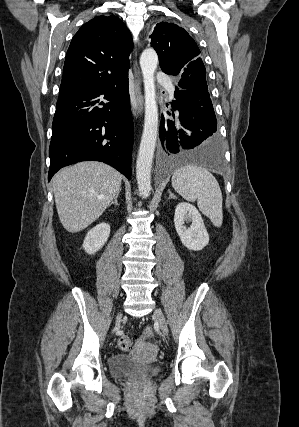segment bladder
<instances>
[{
  "label": "bladder",
  "mask_w": 299,
  "mask_h": 427,
  "mask_svg": "<svg viewBox=\"0 0 299 427\" xmlns=\"http://www.w3.org/2000/svg\"><path fill=\"white\" fill-rule=\"evenodd\" d=\"M109 370L111 375L117 378L130 377L136 373L153 376L162 371V364L159 362L143 364L130 355L119 353L110 358Z\"/></svg>",
  "instance_id": "31cf9c89"
}]
</instances>
